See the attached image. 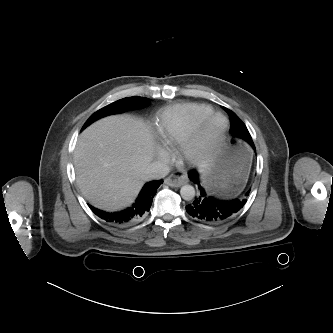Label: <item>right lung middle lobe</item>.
Listing matches in <instances>:
<instances>
[{"instance_id":"dd1d6c3e","label":"right lung middle lobe","mask_w":333,"mask_h":333,"mask_svg":"<svg viewBox=\"0 0 333 333\" xmlns=\"http://www.w3.org/2000/svg\"><path fill=\"white\" fill-rule=\"evenodd\" d=\"M148 104H149V99L144 98V97H138V96L128 97V98L118 100V101L113 102V103L107 105L106 107L98 110L97 112H95L87 120V122L83 126L82 130L85 127H87L88 125H90L92 122H94L97 119L102 118L104 116H107V115H110V114L125 112V111L130 110V109L141 108V107H144Z\"/></svg>"}]
</instances>
